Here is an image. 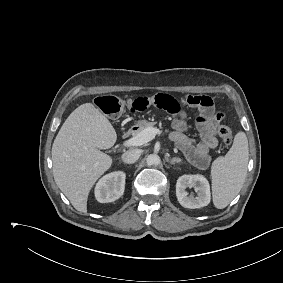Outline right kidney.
<instances>
[{
    "label": "right kidney",
    "instance_id": "obj_1",
    "mask_svg": "<svg viewBox=\"0 0 283 283\" xmlns=\"http://www.w3.org/2000/svg\"><path fill=\"white\" fill-rule=\"evenodd\" d=\"M126 175L122 171L103 176L95 187V197L100 203L113 202L119 199L125 189Z\"/></svg>",
    "mask_w": 283,
    "mask_h": 283
}]
</instances>
